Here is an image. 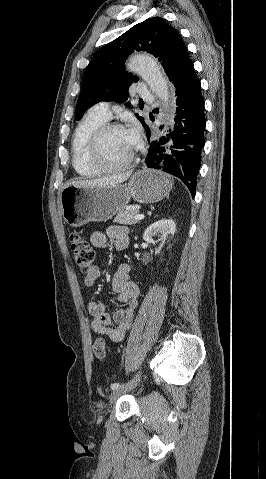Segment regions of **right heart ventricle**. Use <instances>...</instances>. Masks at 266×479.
Returning a JSON list of instances; mask_svg holds the SVG:
<instances>
[{"label":"right heart ventricle","mask_w":266,"mask_h":479,"mask_svg":"<svg viewBox=\"0 0 266 479\" xmlns=\"http://www.w3.org/2000/svg\"><path fill=\"white\" fill-rule=\"evenodd\" d=\"M106 122L105 118L90 111L75 129L72 139V164L82 177L93 178L102 173L89 162L87 153L93 133Z\"/></svg>","instance_id":"1"}]
</instances>
